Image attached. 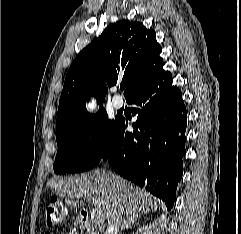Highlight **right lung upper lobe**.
I'll use <instances>...</instances> for the list:
<instances>
[{
  "label": "right lung upper lobe",
  "instance_id": "1",
  "mask_svg": "<svg viewBox=\"0 0 241 234\" xmlns=\"http://www.w3.org/2000/svg\"><path fill=\"white\" fill-rule=\"evenodd\" d=\"M162 48L153 29L137 21L122 20L108 25L71 64L61 93L56 131L88 118L85 102L91 95L99 103L109 86L125 81L126 99L164 65ZM102 108V107H101Z\"/></svg>",
  "mask_w": 241,
  "mask_h": 234
}]
</instances>
